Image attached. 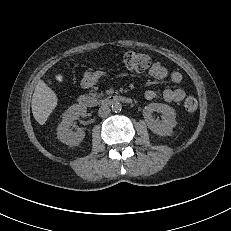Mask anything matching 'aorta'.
<instances>
[{
    "label": "aorta",
    "mask_w": 231,
    "mask_h": 231,
    "mask_svg": "<svg viewBox=\"0 0 231 231\" xmlns=\"http://www.w3.org/2000/svg\"><path fill=\"white\" fill-rule=\"evenodd\" d=\"M112 111L113 112H120L121 111V109H122V105H121V103L120 102H118V101H114L113 103H112Z\"/></svg>",
    "instance_id": "762f6f07"
}]
</instances>
